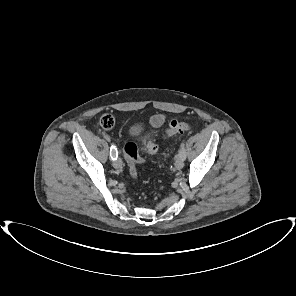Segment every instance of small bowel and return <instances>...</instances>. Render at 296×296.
Masks as SVG:
<instances>
[{"label":"small bowel","instance_id":"obj_1","mask_svg":"<svg viewBox=\"0 0 296 296\" xmlns=\"http://www.w3.org/2000/svg\"><path fill=\"white\" fill-rule=\"evenodd\" d=\"M166 118L163 114L153 115L150 119V123L153 127H160L164 124Z\"/></svg>","mask_w":296,"mask_h":296}]
</instances>
